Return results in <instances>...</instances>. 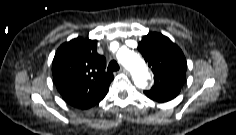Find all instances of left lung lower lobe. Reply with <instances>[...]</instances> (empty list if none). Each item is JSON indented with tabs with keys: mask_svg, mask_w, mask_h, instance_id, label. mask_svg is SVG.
<instances>
[{
	"mask_svg": "<svg viewBox=\"0 0 236 135\" xmlns=\"http://www.w3.org/2000/svg\"><path fill=\"white\" fill-rule=\"evenodd\" d=\"M180 90H167V91H160V92H149V91H144L145 95L158 102H167L172 99H174L178 94Z\"/></svg>",
	"mask_w": 236,
	"mask_h": 135,
	"instance_id": "0a47b994",
	"label": "left lung lower lobe"
}]
</instances>
